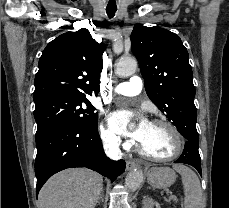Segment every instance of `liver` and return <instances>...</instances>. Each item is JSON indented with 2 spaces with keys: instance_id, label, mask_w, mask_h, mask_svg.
<instances>
[{
  "instance_id": "obj_1",
  "label": "liver",
  "mask_w": 229,
  "mask_h": 208,
  "mask_svg": "<svg viewBox=\"0 0 229 208\" xmlns=\"http://www.w3.org/2000/svg\"><path fill=\"white\" fill-rule=\"evenodd\" d=\"M103 178L86 168H70L52 176L38 196L39 208H95Z\"/></svg>"
}]
</instances>
